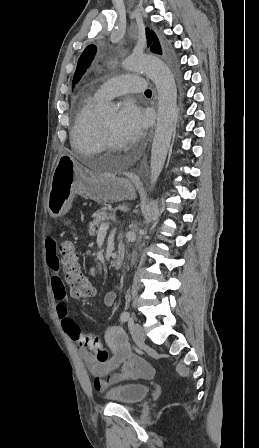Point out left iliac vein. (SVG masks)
<instances>
[{"label":"left iliac vein","instance_id":"1","mask_svg":"<svg viewBox=\"0 0 259 448\" xmlns=\"http://www.w3.org/2000/svg\"><path fill=\"white\" fill-rule=\"evenodd\" d=\"M131 333L135 343L137 344L144 343L146 336L142 326L139 323L133 324Z\"/></svg>","mask_w":259,"mask_h":448}]
</instances>
